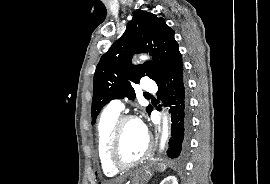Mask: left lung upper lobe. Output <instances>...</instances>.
I'll use <instances>...</instances> for the list:
<instances>
[{"instance_id":"5c2ea615","label":"left lung upper lobe","mask_w":270,"mask_h":184,"mask_svg":"<svg viewBox=\"0 0 270 184\" xmlns=\"http://www.w3.org/2000/svg\"><path fill=\"white\" fill-rule=\"evenodd\" d=\"M174 31L167 26L164 18L137 10L126 30L110 49L101 57L94 73V87L91 116L92 123L102 107L113 99L135 98L132 83L148 76L155 82L164 74L173 57L179 52ZM147 52L154 61L133 65L135 53ZM146 111L150 113L149 105Z\"/></svg>"}]
</instances>
